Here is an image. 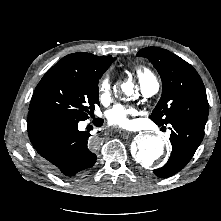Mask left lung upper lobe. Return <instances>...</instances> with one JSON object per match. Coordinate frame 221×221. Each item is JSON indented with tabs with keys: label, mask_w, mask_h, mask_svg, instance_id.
<instances>
[{
	"label": "left lung upper lobe",
	"mask_w": 221,
	"mask_h": 221,
	"mask_svg": "<svg viewBox=\"0 0 221 221\" xmlns=\"http://www.w3.org/2000/svg\"><path fill=\"white\" fill-rule=\"evenodd\" d=\"M137 56L148 58L162 79V96L150 119L158 126L180 120L205 128L209 107L204 84L196 70L159 47L143 48Z\"/></svg>",
	"instance_id": "5c2ea615"
}]
</instances>
